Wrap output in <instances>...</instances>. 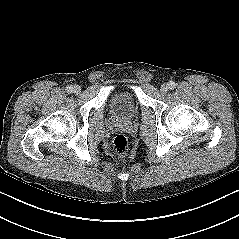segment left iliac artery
<instances>
[{
  "label": "left iliac artery",
  "mask_w": 239,
  "mask_h": 239,
  "mask_svg": "<svg viewBox=\"0 0 239 239\" xmlns=\"http://www.w3.org/2000/svg\"><path fill=\"white\" fill-rule=\"evenodd\" d=\"M168 86H169L170 89H174L175 86H176V84H175V82L170 81L169 84H168Z\"/></svg>",
  "instance_id": "left-iliac-artery-1"
}]
</instances>
